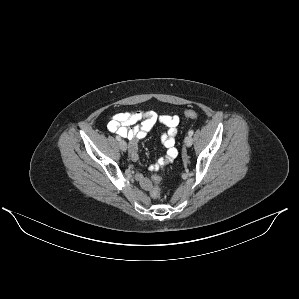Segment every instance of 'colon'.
Returning a JSON list of instances; mask_svg holds the SVG:
<instances>
[{
    "mask_svg": "<svg viewBox=\"0 0 299 299\" xmlns=\"http://www.w3.org/2000/svg\"><path fill=\"white\" fill-rule=\"evenodd\" d=\"M198 116L197 112L194 110H188L185 112V117L187 118H196ZM153 186L151 189V195L154 199H159L161 197V191H160V183L161 178L159 176H153L152 178Z\"/></svg>",
    "mask_w": 299,
    "mask_h": 299,
    "instance_id": "1",
    "label": "colon"
}]
</instances>
